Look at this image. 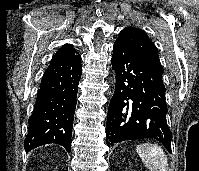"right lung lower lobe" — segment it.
I'll use <instances>...</instances> for the list:
<instances>
[{
	"label": "right lung lower lobe",
	"instance_id": "98d812e1",
	"mask_svg": "<svg viewBox=\"0 0 199 171\" xmlns=\"http://www.w3.org/2000/svg\"><path fill=\"white\" fill-rule=\"evenodd\" d=\"M81 57H53L45 71L24 141L28 152L38 146L57 143L71 151V136Z\"/></svg>",
	"mask_w": 199,
	"mask_h": 171
}]
</instances>
